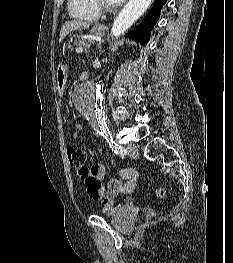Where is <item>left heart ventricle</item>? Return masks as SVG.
<instances>
[{"label":"left heart ventricle","mask_w":233,"mask_h":263,"mask_svg":"<svg viewBox=\"0 0 233 263\" xmlns=\"http://www.w3.org/2000/svg\"><path fill=\"white\" fill-rule=\"evenodd\" d=\"M108 3H111V4H113V2L111 1V0H106Z\"/></svg>","instance_id":"1"}]
</instances>
